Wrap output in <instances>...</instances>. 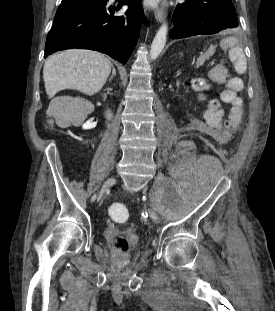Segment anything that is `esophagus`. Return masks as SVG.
<instances>
[{
  "instance_id": "34e87169",
  "label": "esophagus",
  "mask_w": 275,
  "mask_h": 311,
  "mask_svg": "<svg viewBox=\"0 0 275 311\" xmlns=\"http://www.w3.org/2000/svg\"><path fill=\"white\" fill-rule=\"evenodd\" d=\"M166 16V2L162 1L159 7L155 11V18L157 21L161 22Z\"/></svg>"
}]
</instances>
